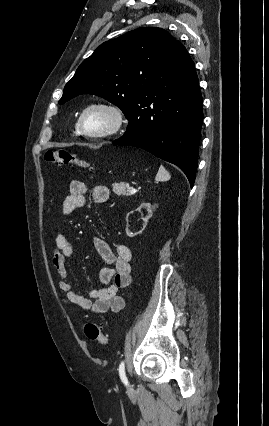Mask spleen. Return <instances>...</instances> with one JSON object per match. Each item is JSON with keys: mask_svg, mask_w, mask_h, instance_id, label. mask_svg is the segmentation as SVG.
<instances>
[{"mask_svg": "<svg viewBox=\"0 0 269 426\" xmlns=\"http://www.w3.org/2000/svg\"><path fill=\"white\" fill-rule=\"evenodd\" d=\"M170 179V174L168 173V171L161 165L160 167H159V170H158V173H157V175H156V177H155V180L157 181V182H160V181H167V180H169Z\"/></svg>", "mask_w": 269, "mask_h": 426, "instance_id": "obj_1", "label": "spleen"}]
</instances>
